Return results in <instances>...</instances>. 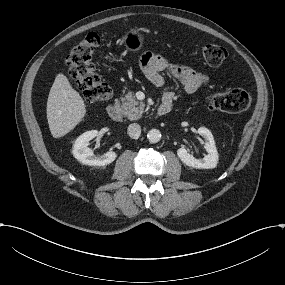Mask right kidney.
<instances>
[{"instance_id":"obj_1","label":"right kidney","mask_w":285,"mask_h":285,"mask_svg":"<svg viewBox=\"0 0 285 285\" xmlns=\"http://www.w3.org/2000/svg\"><path fill=\"white\" fill-rule=\"evenodd\" d=\"M97 135V130L87 131L82 134L74 143L72 150L73 156L84 165L105 166L112 163L117 158V153L112 150L108 151L101 157H96L91 153V151L87 148V145L91 140L96 138Z\"/></svg>"}]
</instances>
